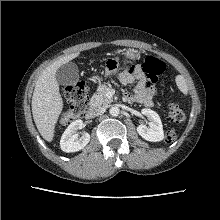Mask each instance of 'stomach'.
Instances as JSON below:
<instances>
[{
    "label": "stomach",
    "instance_id": "1",
    "mask_svg": "<svg viewBox=\"0 0 220 220\" xmlns=\"http://www.w3.org/2000/svg\"><path fill=\"white\" fill-rule=\"evenodd\" d=\"M126 57H128L130 59H134L136 57V55L133 52L129 51L126 53Z\"/></svg>",
    "mask_w": 220,
    "mask_h": 220
}]
</instances>
